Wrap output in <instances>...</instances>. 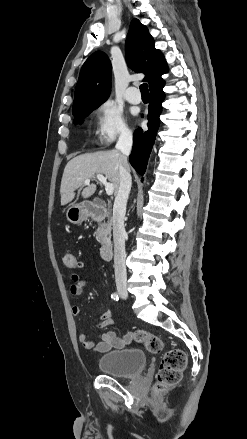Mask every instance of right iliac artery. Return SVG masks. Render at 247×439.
<instances>
[{"mask_svg":"<svg viewBox=\"0 0 247 439\" xmlns=\"http://www.w3.org/2000/svg\"><path fill=\"white\" fill-rule=\"evenodd\" d=\"M111 298H112L113 300H115V301H118L119 296H118L117 293H112V294H111Z\"/></svg>","mask_w":247,"mask_h":439,"instance_id":"82829eb1","label":"right iliac artery"}]
</instances>
